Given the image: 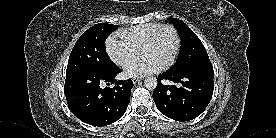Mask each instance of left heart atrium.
I'll return each instance as SVG.
<instances>
[{
	"instance_id": "left-heart-atrium-1",
	"label": "left heart atrium",
	"mask_w": 276,
	"mask_h": 138,
	"mask_svg": "<svg viewBox=\"0 0 276 138\" xmlns=\"http://www.w3.org/2000/svg\"><path fill=\"white\" fill-rule=\"evenodd\" d=\"M162 65L150 56H143L130 61L125 67V73L132 77H141L158 72Z\"/></svg>"
}]
</instances>
